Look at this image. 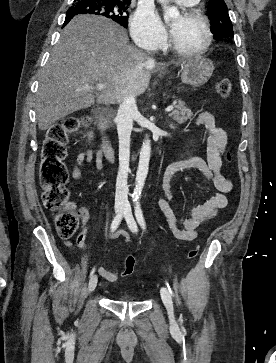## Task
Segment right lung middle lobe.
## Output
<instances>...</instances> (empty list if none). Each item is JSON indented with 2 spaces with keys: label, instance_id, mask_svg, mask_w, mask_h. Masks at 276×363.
I'll return each mask as SVG.
<instances>
[{
  "label": "right lung middle lobe",
  "instance_id": "dd1d6c3e",
  "mask_svg": "<svg viewBox=\"0 0 276 363\" xmlns=\"http://www.w3.org/2000/svg\"><path fill=\"white\" fill-rule=\"evenodd\" d=\"M74 4L66 13V16L74 17L77 14H93L104 16L127 27L128 17L126 2L109 0H74Z\"/></svg>",
  "mask_w": 276,
  "mask_h": 363
}]
</instances>
